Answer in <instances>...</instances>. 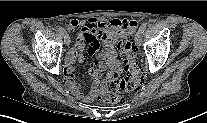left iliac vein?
I'll use <instances>...</instances> for the list:
<instances>
[{
  "mask_svg": "<svg viewBox=\"0 0 207 123\" xmlns=\"http://www.w3.org/2000/svg\"><path fill=\"white\" fill-rule=\"evenodd\" d=\"M142 42V32L141 31H137V33L135 34V43L140 46Z\"/></svg>",
  "mask_w": 207,
  "mask_h": 123,
  "instance_id": "left-iliac-vein-1",
  "label": "left iliac vein"
}]
</instances>
